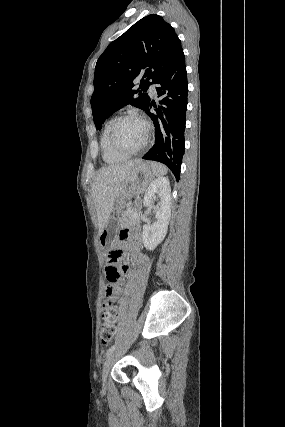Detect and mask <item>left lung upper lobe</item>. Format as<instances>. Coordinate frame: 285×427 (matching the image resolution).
Segmentation results:
<instances>
[{
  "mask_svg": "<svg viewBox=\"0 0 285 427\" xmlns=\"http://www.w3.org/2000/svg\"><path fill=\"white\" fill-rule=\"evenodd\" d=\"M181 51L173 27L156 14L142 18L111 42L95 67L91 107L96 128L127 104L146 111L149 80L157 83ZM135 79H140L139 88Z\"/></svg>",
  "mask_w": 285,
  "mask_h": 427,
  "instance_id": "1",
  "label": "left lung upper lobe"
}]
</instances>
